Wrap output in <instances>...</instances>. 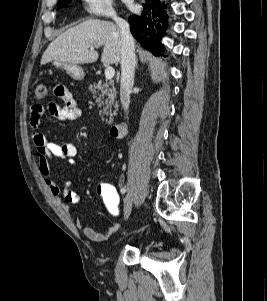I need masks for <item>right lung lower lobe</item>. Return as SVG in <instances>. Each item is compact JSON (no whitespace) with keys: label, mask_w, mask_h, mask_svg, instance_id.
<instances>
[{"label":"right lung lower lobe","mask_w":267,"mask_h":301,"mask_svg":"<svg viewBox=\"0 0 267 301\" xmlns=\"http://www.w3.org/2000/svg\"><path fill=\"white\" fill-rule=\"evenodd\" d=\"M144 9L139 15L129 17L131 32L142 47L151 50L153 54L162 51L160 36H163L167 24V15L163 10L166 6L160 0H146ZM162 21V26L159 22Z\"/></svg>","instance_id":"obj_1"}]
</instances>
